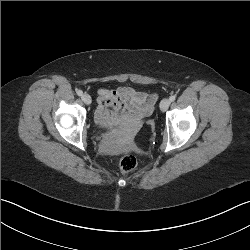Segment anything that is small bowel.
Listing matches in <instances>:
<instances>
[{
    "mask_svg": "<svg viewBox=\"0 0 250 250\" xmlns=\"http://www.w3.org/2000/svg\"><path fill=\"white\" fill-rule=\"evenodd\" d=\"M97 94L95 120L99 124H109L127 117L143 119L151 114L157 100L155 94L131 87L98 89Z\"/></svg>",
    "mask_w": 250,
    "mask_h": 250,
    "instance_id": "obj_1",
    "label": "small bowel"
}]
</instances>
